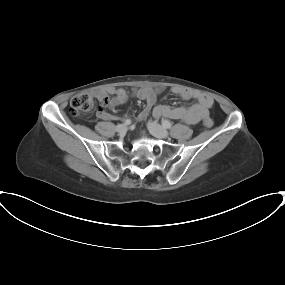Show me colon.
Masks as SVG:
<instances>
[{"label": "colon", "mask_w": 285, "mask_h": 285, "mask_svg": "<svg viewBox=\"0 0 285 285\" xmlns=\"http://www.w3.org/2000/svg\"><path fill=\"white\" fill-rule=\"evenodd\" d=\"M107 102L108 97L104 98L102 101L103 104H107ZM94 106L95 95L90 91H86L72 98L70 103V112L74 116H80L91 112L94 109ZM203 124L206 127H212L214 122L211 118H205Z\"/></svg>", "instance_id": "5ec220e1"}]
</instances>
